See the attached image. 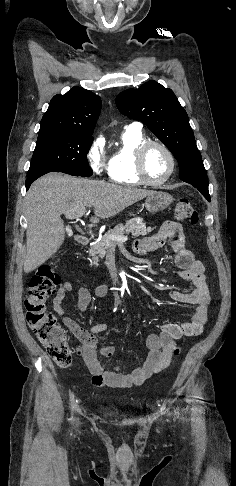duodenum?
<instances>
[{"label":"duodenum","instance_id":"410a0bca","mask_svg":"<svg viewBox=\"0 0 236 486\" xmlns=\"http://www.w3.org/2000/svg\"><path fill=\"white\" fill-rule=\"evenodd\" d=\"M74 239H75L77 244L82 245V246H85L89 243V239L85 235H82V234L75 235Z\"/></svg>","mask_w":236,"mask_h":486}]
</instances>
